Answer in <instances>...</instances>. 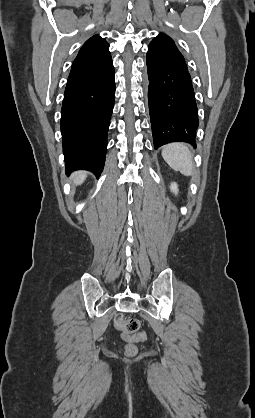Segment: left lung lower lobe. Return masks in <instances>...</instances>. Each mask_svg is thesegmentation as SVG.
<instances>
[{
  "label": "left lung lower lobe",
  "mask_w": 255,
  "mask_h": 418,
  "mask_svg": "<svg viewBox=\"0 0 255 418\" xmlns=\"http://www.w3.org/2000/svg\"><path fill=\"white\" fill-rule=\"evenodd\" d=\"M148 102L154 147L195 145L199 125L195 93L185 59L172 39L154 38L147 52Z\"/></svg>",
  "instance_id": "left-lung-lower-lobe-1"
}]
</instances>
